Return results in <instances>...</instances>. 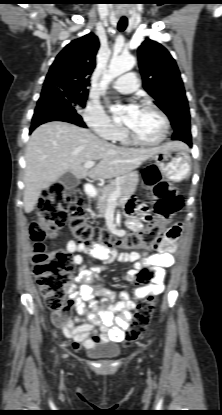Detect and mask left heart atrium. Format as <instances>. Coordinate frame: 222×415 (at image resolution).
<instances>
[{
  "label": "left heart atrium",
  "instance_id": "obj_1",
  "mask_svg": "<svg viewBox=\"0 0 222 415\" xmlns=\"http://www.w3.org/2000/svg\"><path fill=\"white\" fill-rule=\"evenodd\" d=\"M138 110V107L135 104H129L125 107L126 114L128 116H133Z\"/></svg>",
  "mask_w": 222,
  "mask_h": 415
}]
</instances>
